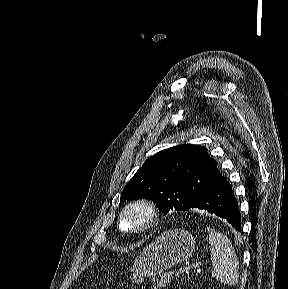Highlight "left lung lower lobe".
<instances>
[{
	"label": "left lung lower lobe",
	"instance_id": "left-lung-lower-lobe-1",
	"mask_svg": "<svg viewBox=\"0 0 288 289\" xmlns=\"http://www.w3.org/2000/svg\"><path fill=\"white\" fill-rule=\"evenodd\" d=\"M206 210L226 219L237 231L241 230V216L232 186L220 175L191 204L190 208Z\"/></svg>",
	"mask_w": 288,
	"mask_h": 289
}]
</instances>
